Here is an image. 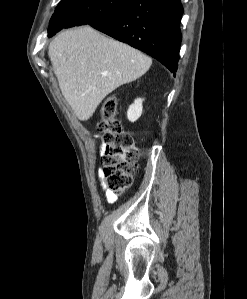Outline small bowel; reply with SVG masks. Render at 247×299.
Here are the masks:
<instances>
[{
  "instance_id": "obj_1",
  "label": "small bowel",
  "mask_w": 247,
  "mask_h": 299,
  "mask_svg": "<svg viewBox=\"0 0 247 299\" xmlns=\"http://www.w3.org/2000/svg\"><path fill=\"white\" fill-rule=\"evenodd\" d=\"M95 137L97 138L98 136L95 135ZM100 152L102 153V149H101ZM100 175H101V174H100ZM101 187H102V189H104V188H105V185L102 183V184H101ZM106 198H107V201H108L109 203H112V202L115 201V195H114L112 192L107 191V192H106Z\"/></svg>"
}]
</instances>
